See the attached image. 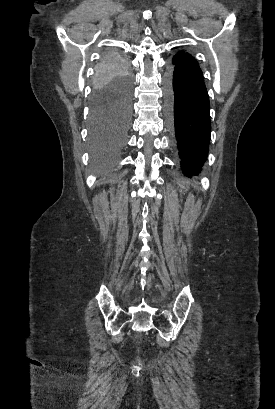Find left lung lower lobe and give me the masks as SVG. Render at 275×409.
Wrapping results in <instances>:
<instances>
[{
  "label": "left lung lower lobe",
  "instance_id": "0a47b994",
  "mask_svg": "<svg viewBox=\"0 0 275 409\" xmlns=\"http://www.w3.org/2000/svg\"><path fill=\"white\" fill-rule=\"evenodd\" d=\"M168 129L185 177L197 176L207 159L211 122L203 74L170 64L167 71Z\"/></svg>",
  "mask_w": 275,
  "mask_h": 409
}]
</instances>
